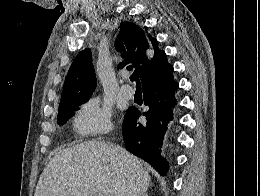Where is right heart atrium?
I'll return each mask as SVG.
<instances>
[{
  "label": "right heart atrium",
  "mask_w": 260,
  "mask_h": 196,
  "mask_svg": "<svg viewBox=\"0 0 260 196\" xmlns=\"http://www.w3.org/2000/svg\"><path fill=\"white\" fill-rule=\"evenodd\" d=\"M110 127L111 110L96 95L83 102L73 117V128L83 137L81 143H105L92 136L105 132Z\"/></svg>",
  "instance_id": "right-heart-atrium-1"
}]
</instances>
